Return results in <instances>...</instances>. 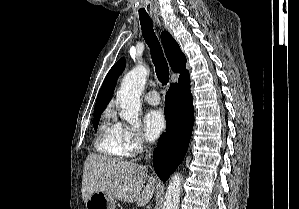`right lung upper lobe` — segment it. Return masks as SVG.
I'll return each mask as SVG.
<instances>
[{
    "instance_id": "obj_1",
    "label": "right lung upper lobe",
    "mask_w": 299,
    "mask_h": 209,
    "mask_svg": "<svg viewBox=\"0 0 299 209\" xmlns=\"http://www.w3.org/2000/svg\"><path fill=\"white\" fill-rule=\"evenodd\" d=\"M161 42L163 44L166 57L174 72L180 73L179 83L189 79V72L186 70V57L182 53L179 45L174 38L166 31L161 33ZM125 66V59L121 58L108 72L101 89L99 91L94 113L103 112L108 105L117 82V77L122 73Z\"/></svg>"
}]
</instances>
